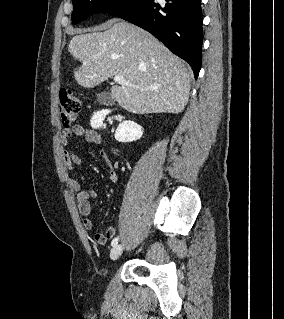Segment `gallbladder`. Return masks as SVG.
<instances>
[{
    "label": "gallbladder",
    "instance_id": "gallbladder-1",
    "mask_svg": "<svg viewBox=\"0 0 284 319\" xmlns=\"http://www.w3.org/2000/svg\"><path fill=\"white\" fill-rule=\"evenodd\" d=\"M97 101L100 104H112L114 102L111 94L109 92L106 91H102L97 93Z\"/></svg>",
    "mask_w": 284,
    "mask_h": 319
}]
</instances>
